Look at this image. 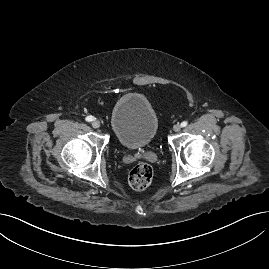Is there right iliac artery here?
I'll return each mask as SVG.
<instances>
[{
    "instance_id": "1",
    "label": "right iliac artery",
    "mask_w": 269,
    "mask_h": 269,
    "mask_svg": "<svg viewBox=\"0 0 269 269\" xmlns=\"http://www.w3.org/2000/svg\"><path fill=\"white\" fill-rule=\"evenodd\" d=\"M95 118L93 117V116H87L86 118H85V120L86 121H88V122H91V121H93Z\"/></svg>"
}]
</instances>
